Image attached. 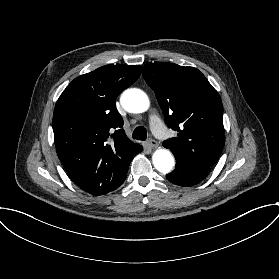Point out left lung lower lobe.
Returning <instances> with one entry per match:
<instances>
[{"label": "left lung lower lobe", "mask_w": 279, "mask_h": 279, "mask_svg": "<svg viewBox=\"0 0 279 279\" xmlns=\"http://www.w3.org/2000/svg\"><path fill=\"white\" fill-rule=\"evenodd\" d=\"M177 165L173 172L166 175L171 183L189 187L201 182L211 171L210 167L200 166L185 160H176Z\"/></svg>", "instance_id": "1"}]
</instances>
